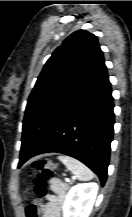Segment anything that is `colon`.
Returning a JSON list of instances; mask_svg holds the SVG:
<instances>
[{
	"label": "colon",
	"instance_id": "obj_1",
	"mask_svg": "<svg viewBox=\"0 0 132 217\" xmlns=\"http://www.w3.org/2000/svg\"><path fill=\"white\" fill-rule=\"evenodd\" d=\"M57 170V165L46 159L36 160L32 163L28 172L29 177L32 179L34 191L36 195L43 197L46 194V183L52 178ZM40 207L30 205L27 209L28 217H38Z\"/></svg>",
	"mask_w": 132,
	"mask_h": 217
}]
</instances>
